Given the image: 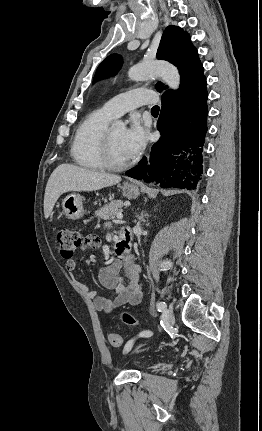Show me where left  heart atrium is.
Masks as SVG:
<instances>
[{
  "label": "left heart atrium",
  "instance_id": "1",
  "mask_svg": "<svg viewBox=\"0 0 262 431\" xmlns=\"http://www.w3.org/2000/svg\"><path fill=\"white\" fill-rule=\"evenodd\" d=\"M147 140L146 130L137 119H134L122 137L123 152L129 159L135 158L144 150Z\"/></svg>",
  "mask_w": 262,
  "mask_h": 431
}]
</instances>
